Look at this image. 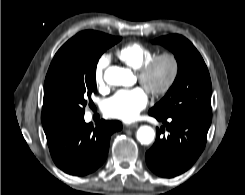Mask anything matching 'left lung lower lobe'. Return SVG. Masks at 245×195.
<instances>
[{
	"instance_id": "left-lung-lower-lobe-1",
	"label": "left lung lower lobe",
	"mask_w": 245,
	"mask_h": 195,
	"mask_svg": "<svg viewBox=\"0 0 245 195\" xmlns=\"http://www.w3.org/2000/svg\"><path fill=\"white\" fill-rule=\"evenodd\" d=\"M162 121L169 134L160 137L164 127L157 129L156 141L146 152L148 167L155 174L172 178L187 171L198 159L206 144L212 118L148 112Z\"/></svg>"
}]
</instances>
